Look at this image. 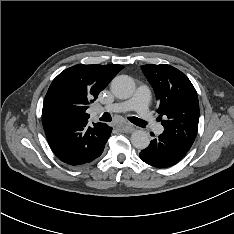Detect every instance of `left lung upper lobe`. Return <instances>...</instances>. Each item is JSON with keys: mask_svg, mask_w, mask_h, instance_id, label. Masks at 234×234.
Here are the masks:
<instances>
[{"mask_svg": "<svg viewBox=\"0 0 234 234\" xmlns=\"http://www.w3.org/2000/svg\"><path fill=\"white\" fill-rule=\"evenodd\" d=\"M141 69L154 88L159 102L158 119L164 134L186 151L192 146L198 130L199 102L197 92L188 79L173 66L142 65Z\"/></svg>", "mask_w": 234, "mask_h": 234, "instance_id": "obj_1", "label": "left lung upper lobe"}]
</instances>
